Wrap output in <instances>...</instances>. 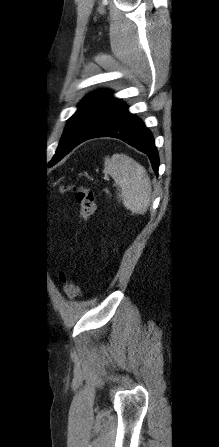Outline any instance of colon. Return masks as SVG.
Returning <instances> with one entry per match:
<instances>
[{"mask_svg": "<svg viewBox=\"0 0 219 447\" xmlns=\"http://www.w3.org/2000/svg\"><path fill=\"white\" fill-rule=\"evenodd\" d=\"M66 190L75 194L79 205V217L81 222H87L95 212L94 192L83 185H73ZM61 280L64 284V290L69 299H74L79 295V287L74 278L68 273H63Z\"/></svg>", "mask_w": 219, "mask_h": 447, "instance_id": "colon-1", "label": "colon"}]
</instances>
